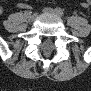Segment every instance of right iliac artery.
I'll return each mask as SVG.
<instances>
[{
    "instance_id": "right-iliac-artery-1",
    "label": "right iliac artery",
    "mask_w": 91,
    "mask_h": 91,
    "mask_svg": "<svg viewBox=\"0 0 91 91\" xmlns=\"http://www.w3.org/2000/svg\"><path fill=\"white\" fill-rule=\"evenodd\" d=\"M29 13H31L30 11H25V15H27V14H29Z\"/></svg>"
}]
</instances>
